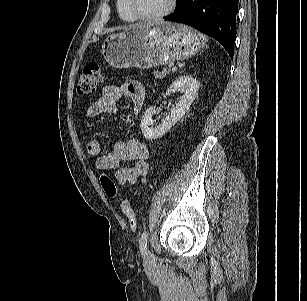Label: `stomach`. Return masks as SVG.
I'll use <instances>...</instances> for the list:
<instances>
[{
	"label": "stomach",
	"instance_id": "obj_1",
	"mask_svg": "<svg viewBox=\"0 0 307 301\" xmlns=\"http://www.w3.org/2000/svg\"><path fill=\"white\" fill-rule=\"evenodd\" d=\"M205 41L203 34L186 25L155 22L134 25L110 35L102 46V54L114 68L148 69L187 59L197 53Z\"/></svg>",
	"mask_w": 307,
	"mask_h": 301
}]
</instances>
